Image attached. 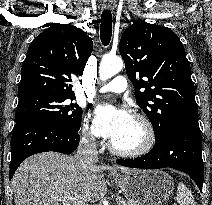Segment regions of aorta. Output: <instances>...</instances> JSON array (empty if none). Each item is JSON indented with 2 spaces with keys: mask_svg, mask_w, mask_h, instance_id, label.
Instances as JSON below:
<instances>
[{
  "mask_svg": "<svg viewBox=\"0 0 212 205\" xmlns=\"http://www.w3.org/2000/svg\"><path fill=\"white\" fill-rule=\"evenodd\" d=\"M123 68V61L120 57L104 56L99 66V77L106 81L119 73Z\"/></svg>",
  "mask_w": 212,
  "mask_h": 205,
  "instance_id": "aorta-1",
  "label": "aorta"
}]
</instances>
